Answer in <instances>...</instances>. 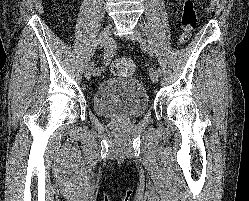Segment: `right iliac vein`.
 <instances>
[{
  "label": "right iliac vein",
  "instance_id": "1",
  "mask_svg": "<svg viewBox=\"0 0 249 201\" xmlns=\"http://www.w3.org/2000/svg\"><path fill=\"white\" fill-rule=\"evenodd\" d=\"M110 27L109 26H106L101 35H100V45L101 46H106L108 45V39H109V35H110ZM93 68H94V63L91 62L85 69V72H84V76L86 79H89L93 73Z\"/></svg>",
  "mask_w": 249,
  "mask_h": 201
}]
</instances>
